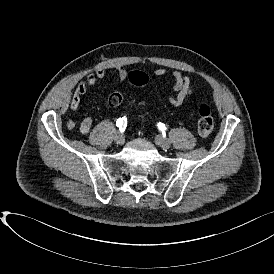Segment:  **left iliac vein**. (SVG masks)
Instances as JSON below:
<instances>
[{"label":"left iliac vein","mask_w":274,"mask_h":274,"mask_svg":"<svg viewBox=\"0 0 274 274\" xmlns=\"http://www.w3.org/2000/svg\"><path fill=\"white\" fill-rule=\"evenodd\" d=\"M155 143H156L159 147H161V148H163V149H168V148L171 147V142H170V140H169V139H166V138H163V137L160 136V135H157V136L155 137Z\"/></svg>","instance_id":"obj_1"}]
</instances>
